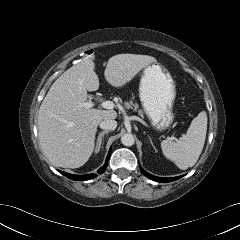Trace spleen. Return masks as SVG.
Returning <instances> with one entry per match:
<instances>
[{
    "label": "spleen",
    "mask_w": 240,
    "mask_h": 240,
    "mask_svg": "<svg viewBox=\"0 0 240 240\" xmlns=\"http://www.w3.org/2000/svg\"><path fill=\"white\" fill-rule=\"evenodd\" d=\"M206 132L207 114L202 111L192 120L186 135L180 137L176 142L171 140L161 142L164 156L182 170L194 166L203 150Z\"/></svg>",
    "instance_id": "3e777b00"
}]
</instances>
